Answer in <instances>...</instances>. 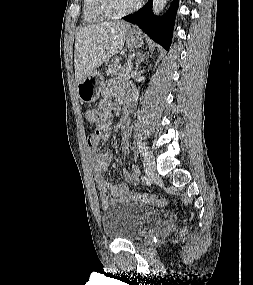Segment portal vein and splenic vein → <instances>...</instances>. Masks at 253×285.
<instances>
[{"label": "portal vein and splenic vein", "mask_w": 253, "mask_h": 285, "mask_svg": "<svg viewBox=\"0 0 253 285\" xmlns=\"http://www.w3.org/2000/svg\"><path fill=\"white\" fill-rule=\"evenodd\" d=\"M129 73H130V69H127V71L125 72V74L123 75V77H124V78H129V77H130Z\"/></svg>", "instance_id": "18ae733b"}]
</instances>
